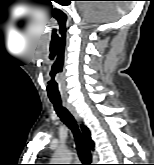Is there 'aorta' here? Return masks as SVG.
Wrapping results in <instances>:
<instances>
[{
	"label": "aorta",
	"instance_id": "1",
	"mask_svg": "<svg viewBox=\"0 0 154 165\" xmlns=\"http://www.w3.org/2000/svg\"><path fill=\"white\" fill-rule=\"evenodd\" d=\"M71 160V152L66 148H60L55 152L51 164H70Z\"/></svg>",
	"mask_w": 154,
	"mask_h": 165
}]
</instances>
